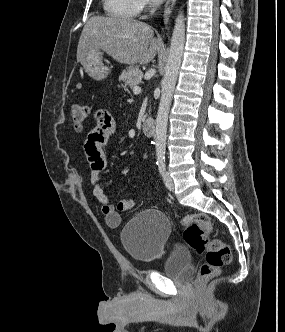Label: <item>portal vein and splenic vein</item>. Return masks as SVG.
I'll return each instance as SVG.
<instances>
[{
    "label": "portal vein and splenic vein",
    "mask_w": 285,
    "mask_h": 332,
    "mask_svg": "<svg viewBox=\"0 0 285 332\" xmlns=\"http://www.w3.org/2000/svg\"><path fill=\"white\" fill-rule=\"evenodd\" d=\"M140 92H141V87H139L138 85H135L133 87V93L139 94Z\"/></svg>",
    "instance_id": "1"
}]
</instances>
